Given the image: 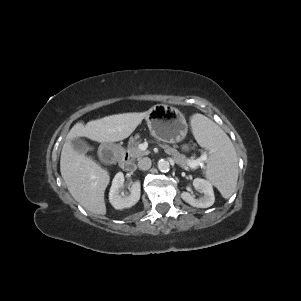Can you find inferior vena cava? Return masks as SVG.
I'll return each instance as SVG.
<instances>
[{"instance_id": "inferior-vena-cava-1", "label": "inferior vena cava", "mask_w": 301, "mask_h": 301, "mask_svg": "<svg viewBox=\"0 0 301 301\" xmlns=\"http://www.w3.org/2000/svg\"><path fill=\"white\" fill-rule=\"evenodd\" d=\"M151 164H152L151 159L148 157H144L139 160L138 167L140 170H148L150 169Z\"/></svg>"}]
</instances>
